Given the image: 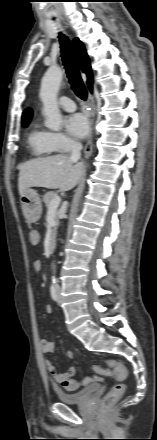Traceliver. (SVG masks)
Wrapping results in <instances>:
<instances>
[{"label":"liver","instance_id":"6515ba94","mask_svg":"<svg viewBox=\"0 0 157 440\" xmlns=\"http://www.w3.org/2000/svg\"><path fill=\"white\" fill-rule=\"evenodd\" d=\"M84 165L66 155H54L30 160L20 166L18 189L20 196L31 187L69 191L84 175Z\"/></svg>","mask_w":157,"mask_h":440}]
</instances>
